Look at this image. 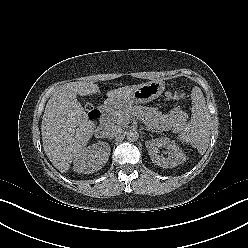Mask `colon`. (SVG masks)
Instances as JSON below:
<instances>
[{"mask_svg":"<svg viewBox=\"0 0 248 248\" xmlns=\"http://www.w3.org/2000/svg\"><path fill=\"white\" fill-rule=\"evenodd\" d=\"M163 98L164 100H182L184 99V94L180 92H166ZM86 108L89 118L96 121L98 118V109L91 103H88Z\"/></svg>","mask_w":248,"mask_h":248,"instance_id":"5ec220e1","label":"colon"}]
</instances>
